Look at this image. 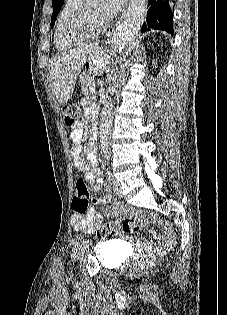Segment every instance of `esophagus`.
I'll return each instance as SVG.
<instances>
[{
	"mask_svg": "<svg viewBox=\"0 0 227 315\" xmlns=\"http://www.w3.org/2000/svg\"><path fill=\"white\" fill-rule=\"evenodd\" d=\"M130 10H131V5H130V3H129V5H128V7H127V10L124 11V13L122 14V16H121V18H120L118 24H120V23L126 18V15H127V13H128ZM116 31H117V25H116V28H114V29L112 30V32L107 36V37H108V38H107V41H111V39L113 40Z\"/></svg>",
	"mask_w": 227,
	"mask_h": 315,
	"instance_id": "1",
	"label": "esophagus"
}]
</instances>
